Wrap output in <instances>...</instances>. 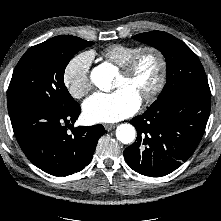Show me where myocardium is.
<instances>
[{
  "mask_svg": "<svg viewBox=\"0 0 221 221\" xmlns=\"http://www.w3.org/2000/svg\"><path fill=\"white\" fill-rule=\"evenodd\" d=\"M152 53L156 56L159 63V74L157 77V80L154 84V86L141 97V102L143 103H149L154 101L158 95L161 93L167 77V60L164 55V53L154 47V46H146L140 48L138 51H136L121 67H120V73L125 76L129 77L133 74V72L136 69V66L140 60V58L147 54Z\"/></svg>",
  "mask_w": 221,
  "mask_h": 221,
  "instance_id": "myocardium-1",
  "label": "myocardium"
}]
</instances>
